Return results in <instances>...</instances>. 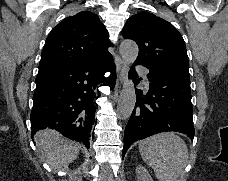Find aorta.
Here are the masks:
<instances>
[{
    "mask_svg": "<svg viewBox=\"0 0 228 181\" xmlns=\"http://www.w3.org/2000/svg\"><path fill=\"white\" fill-rule=\"evenodd\" d=\"M120 54L127 64H132L138 57V46L132 40H124L119 47ZM136 103V93L134 84L131 80H125L121 90L118 104L117 114L120 119L130 117Z\"/></svg>",
    "mask_w": 228,
    "mask_h": 181,
    "instance_id": "obj_1",
    "label": "aorta"
}]
</instances>
